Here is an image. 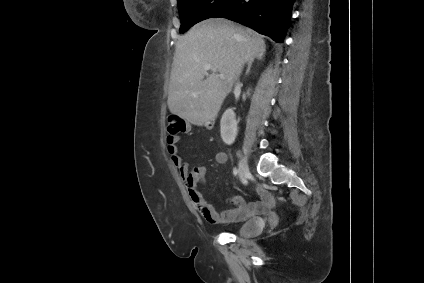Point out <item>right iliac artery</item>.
<instances>
[{
	"instance_id": "obj_1",
	"label": "right iliac artery",
	"mask_w": 424,
	"mask_h": 283,
	"mask_svg": "<svg viewBox=\"0 0 424 283\" xmlns=\"http://www.w3.org/2000/svg\"><path fill=\"white\" fill-rule=\"evenodd\" d=\"M233 173H234V175L236 176V175H237V173H238V170H237L236 168H234Z\"/></svg>"
}]
</instances>
